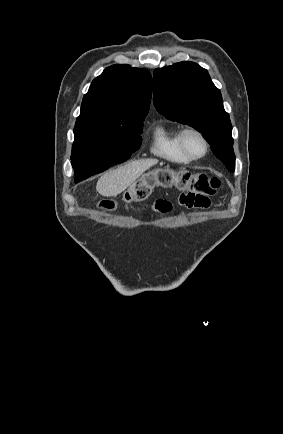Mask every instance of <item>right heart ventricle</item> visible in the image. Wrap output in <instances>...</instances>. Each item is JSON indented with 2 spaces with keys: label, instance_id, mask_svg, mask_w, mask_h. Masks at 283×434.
Returning <instances> with one entry per match:
<instances>
[{
  "label": "right heart ventricle",
  "instance_id": "1",
  "mask_svg": "<svg viewBox=\"0 0 283 434\" xmlns=\"http://www.w3.org/2000/svg\"><path fill=\"white\" fill-rule=\"evenodd\" d=\"M181 129L166 123H158L152 131L150 152L172 163L186 164L190 159L185 156L179 145Z\"/></svg>",
  "mask_w": 283,
  "mask_h": 434
}]
</instances>
